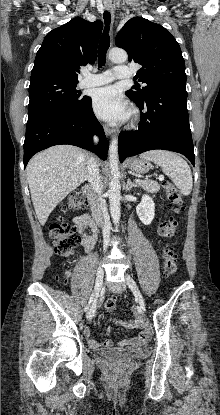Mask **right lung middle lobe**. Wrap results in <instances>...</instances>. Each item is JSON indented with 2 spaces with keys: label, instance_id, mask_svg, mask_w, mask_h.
<instances>
[{
  "label": "right lung middle lobe",
  "instance_id": "obj_1",
  "mask_svg": "<svg viewBox=\"0 0 220 415\" xmlns=\"http://www.w3.org/2000/svg\"><path fill=\"white\" fill-rule=\"evenodd\" d=\"M77 83L78 81L48 77L30 80L28 120L54 109L68 113L78 112L85 104L87 96H81L76 90Z\"/></svg>",
  "mask_w": 220,
  "mask_h": 415
}]
</instances>
